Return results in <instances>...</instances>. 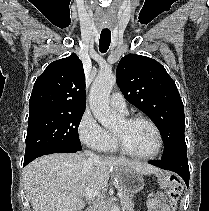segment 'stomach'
<instances>
[{"label": "stomach", "instance_id": "stomach-1", "mask_svg": "<svg viewBox=\"0 0 209 211\" xmlns=\"http://www.w3.org/2000/svg\"><path fill=\"white\" fill-rule=\"evenodd\" d=\"M117 177L121 188L129 196L137 194L144 188V180L141 175L129 168L119 170Z\"/></svg>", "mask_w": 209, "mask_h": 211}]
</instances>
